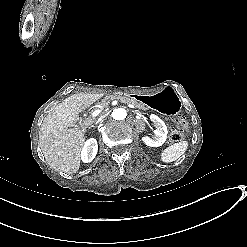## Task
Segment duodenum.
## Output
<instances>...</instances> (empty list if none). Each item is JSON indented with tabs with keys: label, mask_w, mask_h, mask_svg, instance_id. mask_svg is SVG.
Here are the masks:
<instances>
[{
	"label": "duodenum",
	"mask_w": 247,
	"mask_h": 247,
	"mask_svg": "<svg viewBox=\"0 0 247 247\" xmlns=\"http://www.w3.org/2000/svg\"><path fill=\"white\" fill-rule=\"evenodd\" d=\"M81 123H82V119L79 118V119L77 120V124H81Z\"/></svg>",
	"instance_id": "1"
}]
</instances>
